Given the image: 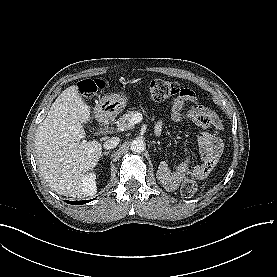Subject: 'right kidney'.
Instances as JSON below:
<instances>
[{"mask_svg":"<svg viewBox=\"0 0 277 277\" xmlns=\"http://www.w3.org/2000/svg\"><path fill=\"white\" fill-rule=\"evenodd\" d=\"M96 175L94 173H88L83 179H82V190L88 194L93 195L97 191L96 186Z\"/></svg>","mask_w":277,"mask_h":277,"instance_id":"right-kidney-1","label":"right kidney"}]
</instances>
